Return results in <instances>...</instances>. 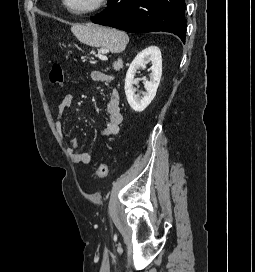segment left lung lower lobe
Returning a JSON list of instances; mask_svg holds the SVG:
<instances>
[{
    "label": "left lung lower lobe",
    "instance_id": "obj_1",
    "mask_svg": "<svg viewBox=\"0 0 255 272\" xmlns=\"http://www.w3.org/2000/svg\"><path fill=\"white\" fill-rule=\"evenodd\" d=\"M108 6L90 21L127 32H170L185 42L184 0H109Z\"/></svg>",
    "mask_w": 255,
    "mask_h": 272
}]
</instances>
